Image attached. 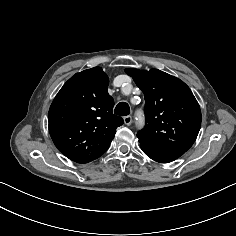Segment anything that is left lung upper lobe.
Masks as SVG:
<instances>
[{"instance_id": "obj_1", "label": "left lung upper lobe", "mask_w": 236, "mask_h": 236, "mask_svg": "<svg viewBox=\"0 0 236 236\" xmlns=\"http://www.w3.org/2000/svg\"><path fill=\"white\" fill-rule=\"evenodd\" d=\"M145 97V128L137 133L140 146L186 152L201 126V110L190 88L158 69H125Z\"/></svg>"}]
</instances>
